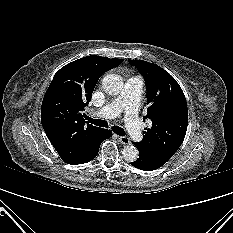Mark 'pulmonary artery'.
<instances>
[{
  "label": "pulmonary artery",
  "instance_id": "1",
  "mask_svg": "<svg viewBox=\"0 0 233 233\" xmlns=\"http://www.w3.org/2000/svg\"><path fill=\"white\" fill-rule=\"evenodd\" d=\"M143 79L140 76L130 77L126 80L120 94L110 103L95 112L101 118H114L120 112L125 113V125L133 140H142V131L138 121V109Z\"/></svg>",
  "mask_w": 233,
  "mask_h": 233
}]
</instances>
